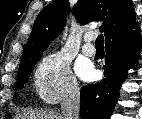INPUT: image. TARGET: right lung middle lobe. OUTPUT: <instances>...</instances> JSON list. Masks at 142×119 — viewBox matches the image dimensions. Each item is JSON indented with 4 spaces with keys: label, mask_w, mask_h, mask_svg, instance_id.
Here are the masks:
<instances>
[{
    "label": "right lung middle lobe",
    "mask_w": 142,
    "mask_h": 119,
    "mask_svg": "<svg viewBox=\"0 0 142 119\" xmlns=\"http://www.w3.org/2000/svg\"><path fill=\"white\" fill-rule=\"evenodd\" d=\"M39 58H40V56L35 59H32L31 61H29L28 63H26L25 65L20 67L19 78H18V82H17L18 88L23 87V85L26 83L30 73L33 70L34 65L37 63Z\"/></svg>",
    "instance_id": "obj_1"
}]
</instances>
